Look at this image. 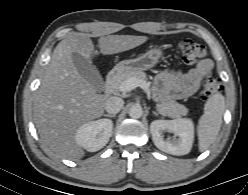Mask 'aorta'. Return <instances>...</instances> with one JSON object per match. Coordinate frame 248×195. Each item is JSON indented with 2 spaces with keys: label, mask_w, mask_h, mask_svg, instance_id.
<instances>
[{
  "label": "aorta",
  "mask_w": 248,
  "mask_h": 195,
  "mask_svg": "<svg viewBox=\"0 0 248 195\" xmlns=\"http://www.w3.org/2000/svg\"><path fill=\"white\" fill-rule=\"evenodd\" d=\"M142 114H143V111L140 105H133L129 109V115L131 118H134V119L140 118Z\"/></svg>",
  "instance_id": "762f6f07"
}]
</instances>
